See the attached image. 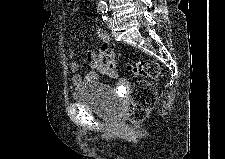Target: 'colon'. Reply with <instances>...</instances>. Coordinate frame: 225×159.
<instances>
[{"label": "colon", "mask_w": 225, "mask_h": 159, "mask_svg": "<svg viewBox=\"0 0 225 159\" xmlns=\"http://www.w3.org/2000/svg\"><path fill=\"white\" fill-rule=\"evenodd\" d=\"M74 2L75 0H69ZM99 55L106 60V66L111 75H115L117 69L118 54L107 47H101ZM129 70L136 77L159 79L163 72L160 65L151 59H138L128 64ZM131 101L127 111V118L132 123H137L146 118L152 110L157 91L152 83L147 80H136L132 86Z\"/></svg>", "instance_id": "1"}]
</instances>
